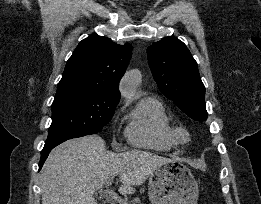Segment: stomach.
Listing matches in <instances>:
<instances>
[{"instance_id": "0dacf381", "label": "stomach", "mask_w": 261, "mask_h": 204, "mask_svg": "<svg viewBox=\"0 0 261 204\" xmlns=\"http://www.w3.org/2000/svg\"><path fill=\"white\" fill-rule=\"evenodd\" d=\"M199 188L191 170L171 160L156 167L149 176L151 204H196Z\"/></svg>"}]
</instances>
